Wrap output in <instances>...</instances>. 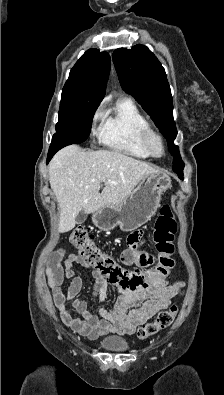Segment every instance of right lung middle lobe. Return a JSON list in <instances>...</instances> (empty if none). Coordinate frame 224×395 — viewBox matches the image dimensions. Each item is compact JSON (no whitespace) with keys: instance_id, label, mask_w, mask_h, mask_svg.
Wrapping results in <instances>:
<instances>
[{"instance_id":"dd1d6c3e","label":"right lung middle lobe","mask_w":224,"mask_h":395,"mask_svg":"<svg viewBox=\"0 0 224 395\" xmlns=\"http://www.w3.org/2000/svg\"><path fill=\"white\" fill-rule=\"evenodd\" d=\"M101 98L87 94L62 91L59 121L52 141L64 143H82L90 132L94 113Z\"/></svg>"}]
</instances>
